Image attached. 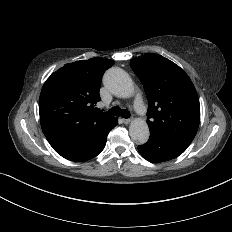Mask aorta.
Wrapping results in <instances>:
<instances>
[{
    "instance_id": "762f6f07",
    "label": "aorta",
    "mask_w": 232,
    "mask_h": 232,
    "mask_svg": "<svg viewBox=\"0 0 232 232\" xmlns=\"http://www.w3.org/2000/svg\"><path fill=\"white\" fill-rule=\"evenodd\" d=\"M104 85L117 97L127 98L134 92L132 79L123 69L110 68L104 75ZM130 137L138 144H144L149 139V127L145 120L135 118L129 126Z\"/></svg>"
}]
</instances>
